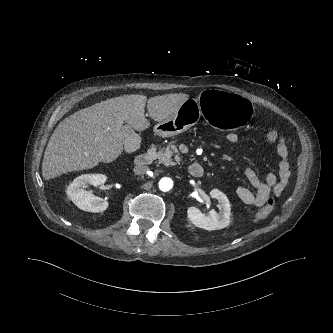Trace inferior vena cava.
Returning <instances> with one entry per match:
<instances>
[{"label":"inferior vena cava","instance_id":"obj_1","mask_svg":"<svg viewBox=\"0 0 333 333\" xmlns=\"http://www.w3.org/2000/svg\"><path fill=\"white\" fill-rule=\"evenodd\" d=\"M148 170V166L145 165H138L134 167V173L136 175H141V174H145V172Z\"/></svg>","mask_w":333,"mask_h":333}]
</instances>
